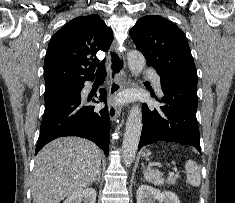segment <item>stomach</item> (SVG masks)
I'll list each match as a JSON object with an SVG mask.
<instances>
[{
    "instance_id": "obj_1",
    "label": "stomach",
    "mask_w": 235,
    "mask_h": 203,
    "mask_svg": "<svg viewBox=\"0 0 235 203\" xmlns=\"http://www.w3.org/2000/svg\"><path fill=\"white\" fill-rule=\"evenodd\" d=\"M149 155H150V152H149L148 150H145V151L143 152V157H144V158H147Z\"/></svg>"
}]
</instances>
